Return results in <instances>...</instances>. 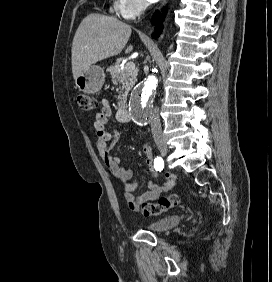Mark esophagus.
Masks as SVG:
<instances>
[{
  "instance_id": "esophagus-1",
  "label": "esophagus",
  "mask_w": 272,
  "mask_h": 282,
  "mask_svg": "<svg viewBox=\"0 0 272 282\" xmlns=\"http://www.w3.org/2000/svg\"><path fill=\"white\" fill-rule=\"evenodd\" d=\"M167 2V0H163L161 3V7Z\"/></svg>"
}]
</instances>
